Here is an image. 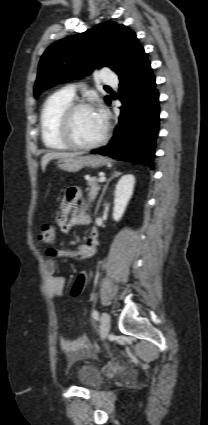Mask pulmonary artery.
I'll return each mask as SVG.
<instances>
[{"label":"pulmonary artery","mask_w":208,"mask_h":425,"mask_svg":"<svg viewBox=\"0 0 208 425\" xmlns=\"http://www.w3.org/2000/svg\"><path fill=\"white\" fill-rule=\"evenodd\" d=\"M101 81L105 85H116L118 83V78L114 72H111L108 69H103L101 71ZM63 92L68 96L74 98L76 95V87L74 85H69L64 88Z\"/></svg>","instance_id":"1"}]
</instances>
